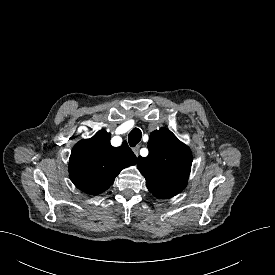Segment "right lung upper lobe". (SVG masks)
Listing matches in <instances>:
<instances>
[{"instance_id":"cb5924a9","label":"right lung upper lobe","mask_w":275,"mask_h":275,"mask_svg":"<svg viewBox=\"0 0 275 275\" xmlns=\"http://www.w3.org/2000/svg\"><path fill=\"white\" fill-rule=\"evenodd\" d=\"M110 133L98 131L92 138L79 141L72 149L69 175L73 184L90 195L107 190L120 171L137 163L126 141L112 147Z\"/></svg>"}]
</instances>
